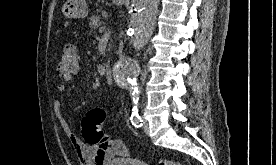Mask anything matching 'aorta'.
<instances>
[{"label":"aorta","mask_w":276,"mask_h":165,"mask_svg":"<svg viewBox=\"0 0 276 165\" xmlns=\"http://www.w3.org/2000/svg\"><path fill=\"white\" fill-rule=\"evenodd\" d=\"M160 0H131L132 40L136 48L143 47L153 34ZM139 66L131 60H122L113 68L114 77L121 83H128L134 101L138 100L136 76Z\"/></svg>","instance_id":"aorta-1"}]
</instances>
